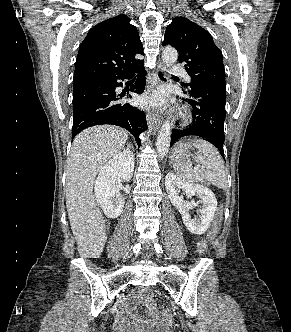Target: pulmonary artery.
Wrapping results in <instances>:
<instances>
[{"label":"pulmonary artery","mask_w":291,"mask_h":332,"mask_svg":"<svg viewBox=\"0 0 291 332\" xmlns=\"http://www.w3.org/2000/svg\"><path fill=\"white\" fill-rule=\"evenodd\" d=\"M172 71L176 74H180L183 75L187 81H190V76L187 75L186 71L184 70L183 67H181L180 65L176 64L172 67Z\"/></svg>","instance_id":"obj_1"}]
</instances>
